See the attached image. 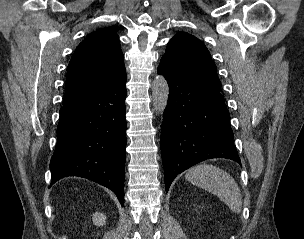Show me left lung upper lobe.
<instances>
[{"mask_svg":"<svg viewBox=\"0 0 304 239\" xmlns=\"http://www.w3.org/2000/svg\"><path fill=\"white\" fill-rule=\"evenodd\" d=\"M161 59L189 78L221 91V82L210 53L195 36L177 33L168 43Z\"/></svg>","mask_w":304,"mask_h":239,"instance_id":"obj_1","label":"left lung upper lobe"}]
</instances>
